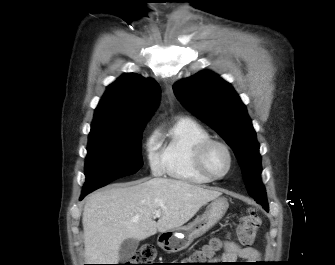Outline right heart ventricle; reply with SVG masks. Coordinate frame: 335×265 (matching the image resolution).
I'll return each instance as SVG.
<instances>
[{
	"label": "right heart ventricle",
	"mask_w": 335,
	"mask_h": 265,
	"mask_svg": "<svg viewBox=\"0 0 335 265\" xmlns=\"http://www.w3.org/2000/svg\"><path fill=\"white\" fill-rule=\"evenodd\" d=\"M210 138L209 131L197 121L187 117L178 119L160 137L165 173L173 179L195 185L211 182L195 163L199 145Z\"/></svg>",
	"instance_id": "e07e8e85"
}]
</instances>
